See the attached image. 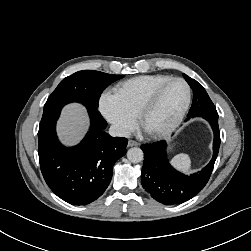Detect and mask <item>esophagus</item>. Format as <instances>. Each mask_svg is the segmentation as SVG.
Segmentation results:
<instances>
[{
    "mask_svg": "<svg viewBox=\"0 0 251 251\" xmlns=\"http://www.w3.org/2000/svg\"><path fill=\"white\" fill-rule=\"evenodd\" d=\"M138 145H139V143L134 140L128 141V147H133V146H138Z\"/></svg>",
    "mask_w": 251,
    "mask_h": 251,
    "instance_id": "esophagus-1",
    "label": "esophagus"
}]
</instances>
